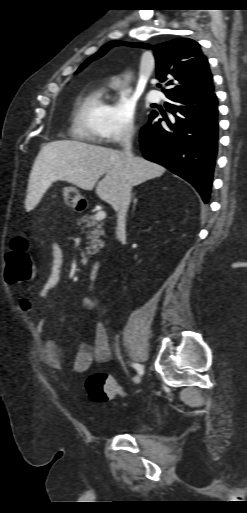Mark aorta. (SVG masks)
Returning a JSON list of instances; mask_svg holds the SVG:
<instances>
[{
  "label": "aorta",
  "instance_id": "obj_1",
  "mask_svg": "<svg viewBox=\"0 0 247 513\" xmlns=\"http://www.w3.org/2000/svg\"><path fill=\"white\" fill-rule=\"evenodd\" d=\"M129 81H130V75H129V74H127V75H125L124 83H125V84H128V83H129Z\"/></svg>",
  "mask_w": 247,
  "mask_h": 513
}]
</instances>
